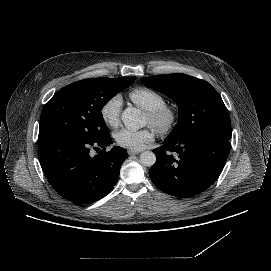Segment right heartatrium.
<instances>
[{
    "mask_svg": "<svg viewBox=\"0 0 271 271\" xmlns=\"http://www.w3.org/2000/svg\"><path fill=\"white\" fill-rule=\"evenodd\" d=\"M123 105L120 93H115L109 97L100 107L99 114L102 121L110 128L118 127L120 114Z\"/></svg>",
    "mask_w": 271,
    "mask_h": 271,
    "instance_id": "obj_1",
    "label": "right heart atrium"
}]
</instances>
